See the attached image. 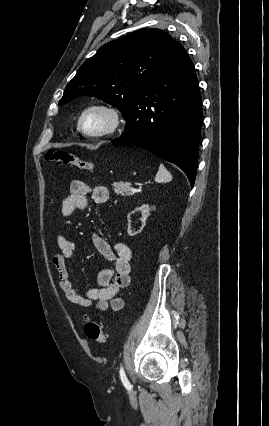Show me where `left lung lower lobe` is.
<instances>
[{"label": "left lung lower lobe", "mask_w": 269, "mask_h": 426, "mask_svg": "<svg viewBox=\"0 0 269 426\" xmlns=\"http://www.w3.org/2000/svg\"><path fill=\"white\" fill-rule=\"evenodd\" d=\"M123 134L112 143L144 148L179 166L195 182L202 99L194 65L175 42L150 79L149 89L129 107Z\"/></svg>", "instance_id": "obj_1"}]
</instances>
